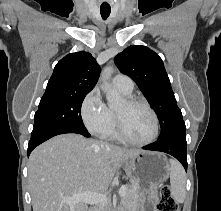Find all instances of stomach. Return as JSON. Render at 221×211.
<instances>
[{
	"label": "stomach",
	"mask_w": 221,
	"mask_h": 211,
	"mask_svg": "<svg viewBox=\"0 0 221 211\" xmlns=\"http://www.w3.org/2000/svg\"><path fill=\"white\" fill-rule=\"evenodd\" d=\"M124 168L131 182L139 188L140 209L146 207V200L155 194L156 187L170 175L166 157L158 152L142 151L126 160Z\"/></svg>",
	"instance_id": "0dacf381"
}]
</instances>
